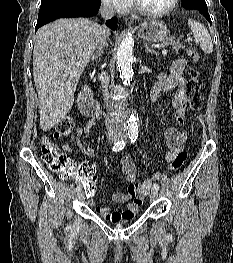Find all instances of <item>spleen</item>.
I'll return each instance as SVG.
<instances>
[{"mask_svg":"<svg viewBox=\"0 0 233 263\" xmlns=\"http://www.w3.org/2000/svg\"><path fill=\"white\" fill-rule=\"evenodd\" d=\"M188 25L191 28L195 38L200 43L202 51L206 54L212 53L213 44L207 28L203 24L193 19L188 20Z\"/></svg>","mask_w":233,"mask_h":263,"instance_id":"3e777b00","label":"spleen"}]
</instances>
